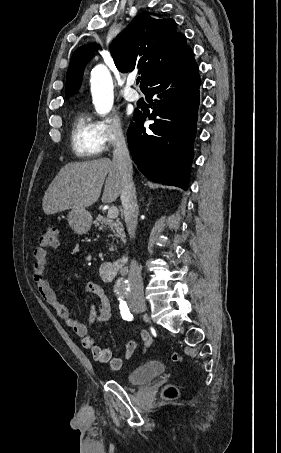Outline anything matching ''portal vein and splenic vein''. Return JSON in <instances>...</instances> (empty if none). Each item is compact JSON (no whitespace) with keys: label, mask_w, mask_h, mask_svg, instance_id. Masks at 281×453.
<instances>
[{"label":"portal vein and splenic vein","mask_w":281,"mask_h":453,"mask_svg":"<svg viewBox=\"0 0 281 453\" xmlns=\"http://www.w3.org/2000/svg\"><path fill=\"white\" fill-rule=\"evenodd\" d=\"M118 214L119 210L117 206H110V208H108V218H117Z\"/></svg>","instance_id":"1"}]
</instances>
